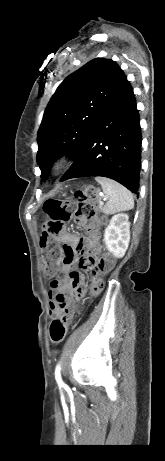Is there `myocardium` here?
Returning a JSON list of instances; mask_svg holds the SVG:
<instances>
[{"instance_id":"1","label":"myocardium","mask_w":165,"mask_h":461,"mask_svg":"<svg viewBox=\"0 0 165 461\" xmlns=\"http://www.w3.org/2000/svg\"><path fill=\"white\" fill-rule=\"evenodd\" d=\"M68 164V159L66 157H60L56 159L52 165L51 169L54 173H60Z\"/></svg>"}]
</instances>
